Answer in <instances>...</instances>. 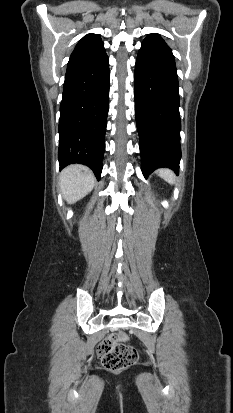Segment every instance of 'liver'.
Masks as SVG:
<instances>
[{"instance_id": "obj_1", "label": "liver", "mask_w": 233, "mask_h": 413, "mask_svg": "<svg viewBox=\"0 0 233 413\" xmlns=\"http://www.w3.org/2000/svg\"><path fill=\"white\" fill-rule=\"evenodd\" d=\"M95 178L86 166L74 164L60 174L59 186L69 204L85 197L93 189Z\"/></svg>"}]
</instances>
